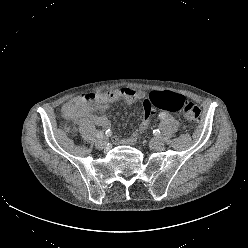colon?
I'll return each instance as SVG.
<instances>
[{"instance_id":"obj_1","label":"colon","mask_w":248,"mask_h":248,"mask_svg":"<svg viewBox=\"0 0 248 248\" xmlns=\"http://www.w3.org/2000/svg\"><path fill=\"white\" fill-rule=\"evenodd\" d=\"M157 109L182 112L184 118L192 124H197L201 118L200 108L184 96L169 91L153 92L143 103V117L140 125L142 133L148 129L151 116Z\"/></svg>"}]
</instances>
